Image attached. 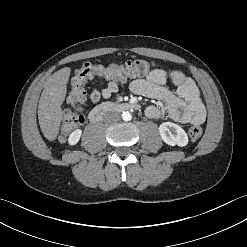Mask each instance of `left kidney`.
<instances>
[{"label": "left kidney", "instance_id": "5707ae66", "mask_svg": "<svg viewBox=\"0 0 247 247\" xmlns=\"http://www.w3.org/2000/svg\"><path fill=\"white\" fill-rule=\"evenodd\" d=\"M159 133L162 140L170 145L184 147L188 144L186 132L177 124L164 122L159 126Z\"/></svg>", "mask_w": 247, "mask_h": 247}]
</instances>
